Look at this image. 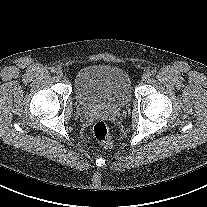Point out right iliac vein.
Masks as SVG:
<instances>
[{"label":"right iliac vein","mask_w":207,"mask_h":207,"mask_svg":"<svg viewBox=\"0 0 207 207\" xmlns=\"http://www.w3.org/2000/svg\"><path fill=\"white\" fill-rule=\"evenodd\" d=\"M56 75H57V77H59V78L63 77V72H62V70L57 69V70H56Z\"/></svg>","instance_id":"1"}]
</instances>
